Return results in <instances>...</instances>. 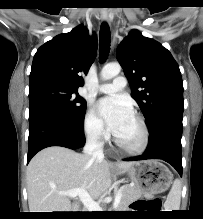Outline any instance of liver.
<instances>
[{
	"instance_id": "obj_1",
	"label": "liver",
	"mask_w": 203,
	"mask_h": 219,
	"mask_svg": "<svg viewBox=\"0 0 203 219\" xmlns=\"http://www.w3.org/2000/svg\"><path fill=\"white\" fill-rule=\"evenodd\" d=\"M135 162L93 159L61 146L38 152L27 167L30 212H76L77 203L60 192L84 188L92 198L104 195L112 184L110 169L127 171Z\"/></svg>"
}]
</instances>
